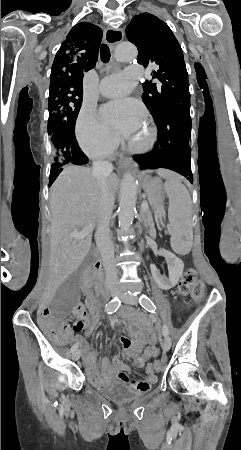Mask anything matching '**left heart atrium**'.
I'll return each instance as SVG.
<instances>
[{"mask_svg": "<svg viewBox=\"0 0 241 450\" xmlns=\"http://www.w3.org/2000/svg\"><path fill=\"white\" fill-rule=\"evenodd\" d=\"M135 113L138 122H129L127 114ZM102 121L112 130L119 133H127L134 129L143 117L144 110L142 106L133 100H118L110 102L100 109Z\"/></svg>", "mask_w": 241, "mask_h": 450, "instance_id": "obj_1", "label": "left heart atrium"}]
</instances>
